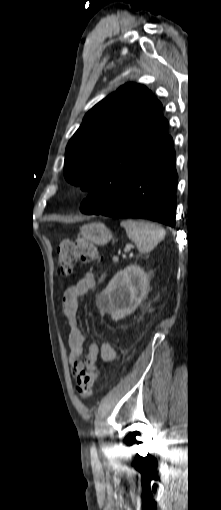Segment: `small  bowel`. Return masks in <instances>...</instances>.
<instances>
[{
    "mask_svg": "<svg viewBox=\"0 0 221 510\" xmlns=\"http://www.w3.org/2000/svg\"><path fill=\"white\" fill-rule=\"evenodd\" d=\"M96 285L94 274H84L74 285L68 287L63 296L62 314L70 324L68 334L69 360L74 374L77 376L81 371L96 372V361L98 356L104 362H113L116 358L115 348L108 342H103L99 346L92 344L88 354L84 359V335L78 326V310L82 297L92 290Z\"/></svg>",
    "mask_w": 221,
    "mask_h": 510,
    "instance_id": "small-bowel-1",
    "label": "small bowel"
}]
</instances>
